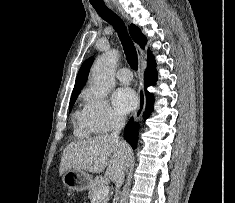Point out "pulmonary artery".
I'll return each instance as SVG.
<instances>
[{
    "instance_id": "e3ab8cb5",
    "label": "pulmonary artery",
    "mask_w": 235,
    "mask_h": 203,
    "mask_svg": "<svg viewBox=\"0 0 235 203\" xmlns=\"http://www.w3.org/2000/svg\"><path fill=\"white\" fill-rule=\"evenodd\" d=\"M116 77L123 83H129L132 80V73L128 68L124 67L117 71Z\"/></svg>"
}]
</instances>
